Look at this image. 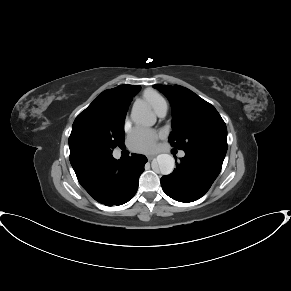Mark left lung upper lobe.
Returning a JSON list of instances; mask_svg holds the SVG:
<instances>
[{"mask_svg":"<svg viewBox=\"0 0 291 291\" xmlns=\"http://www.w3.org/2000/svg\"><path fill=\"white\" fill-rule=\"evenodd\" d=\"M169 100L172 108V146L181 149H205L226 153L227 128L213 105L179 85L153 86Z\"/></svg>","mask_w":291,"mask_h":291,"instance_id":"obj_1","label":"left lung upper lobe"}]
</instances>
